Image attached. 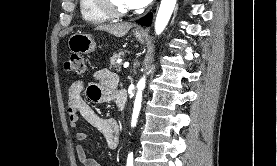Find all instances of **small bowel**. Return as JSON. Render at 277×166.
I'll return each instance as SVG.
<instances>
[{"mask_svg": "<svg viewBox=\"0 0 277 166\" xmlns=\"http://www.w3.org/2000/svg\"><path fill=\"white\" fill-rule=\"evenodd\" d=\"M95 81L86 87L82 81L73 82L68 90V117L70 127L77 128L81 118L96 127L103 134L107 146L115 150L119 145L120 128L111 118L100 116L91 107L90 103H109L117 99L118 75L107 69L94 73ZM78 144L76 152L82 166H101L95 159L88 157L82 142L88 139L84 131L76 133Z\"/></svg>", "mask_w": 277, "mask_h": 166, "instance_id": "1", "label": "small bowel"}]
</instances>
